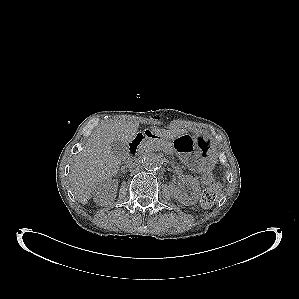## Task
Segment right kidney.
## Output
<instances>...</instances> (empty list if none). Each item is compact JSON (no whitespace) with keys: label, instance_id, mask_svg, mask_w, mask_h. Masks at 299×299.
I'll use <instances>...</instances> for the list:
<instances>
[{"label":"right kidney","instance_id":"ca27d5eb","mask_svg":"<svg viewBox=\"0 0 299 299\" xmlns=\"http://www.w3.org/2000/svg\"><path fill=\"white\" fill-rule=\"evenodd\" d=\"M118 182L106 180L99 184L93 192V200L100 206L108 205L116 197Z\"/></svg>","mask_w":299,"mask_h":299}]
</instances>
